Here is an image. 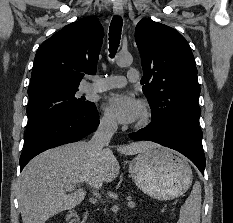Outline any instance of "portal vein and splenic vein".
<instances>
[{
	"label": "portal vein and splenic vein",
	"instance_id": "18ae733b",
	"mask_svg": "<svg viewBox=\"0 0 233 223\" xmlns=\"http://www.w3.org/2000/svg\"><path fill=\"white\" fill-rule=\"evenodd\" d=\"M94 195H96V197H99V193H97V191H94ZM127 205H128L129 207H135L134 201H128V202H127Z\"/></svg>",
	"mask_w": 233,
	"mask_h": 223
}]
</instances>
